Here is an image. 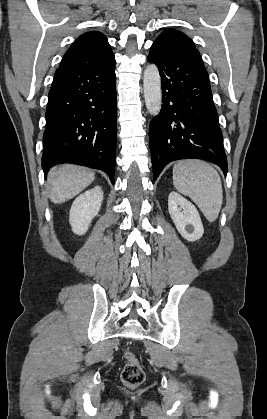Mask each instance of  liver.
Listing matches in <instances>:
<instances>
[{
	"mask_svg": "<svg viewBox=\"0 0 267 419\" xmlns=\"http://www.w3.org/2000/svg\"><path fill=\"white\" fill-rule=\"evenodd\" d=\"M95 179V174L84 167L66 164L50 170V200L61 204L84 190Z\"/></svg>",
	"mask_w": 267,
	"mask_h": 419,
	"instance_id": "obj_1",
	"label": "liver"
}]
</instances>
